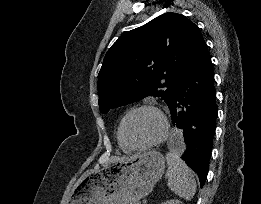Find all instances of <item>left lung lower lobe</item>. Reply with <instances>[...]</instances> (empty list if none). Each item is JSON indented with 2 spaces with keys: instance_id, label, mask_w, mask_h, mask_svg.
Here are the masks:
<instances>
[{
  "instance_id": "left-lung-lower-lobe-1",
  "label": "left lung lower lobe",
  "mask_w": 261,
  "mask_h": 204,
  "mask_svg": "<svg viewBox=\"0 0 261 204\" xmlns=\"http://www.w3.org/2000/svg\"><path fill=\"white\" fill-rule=\"evenodd\" d=\"M169 109L176 149L184 152L182 158L198 174L202 187L209 170L217 104L211 57L200 31L181 71Z\"/></svg>"
}]
</instances>
